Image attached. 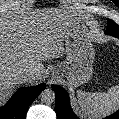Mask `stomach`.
<instances>
[{
    "label": "stomach",
    "mask_w": 119,
    "mask_h": 119,
    "mask_svg": "<svg viewBox=\"0 0 119 119\" xmlns=\"http://www.w3.org/2000/svg\"><path fill=\"white\" fill-rule=\"evenodd\" d=\"M71 31L66 44V60L54 66L53 72L76 86L85 83L92 74L94 48L84 25H77Z\"/></svg>",
    "instance_id": "obj_1"
}]
</instances>
